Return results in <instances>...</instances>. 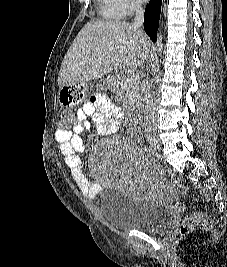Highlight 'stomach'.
I'll return each instance as SVG.
<instances>
[{
    "label": "stomach",
    "mask_w": 227,
    "mask_h": 267,
    "mask_svg": "<svg viewBox=\"0 0 227 267\" xmlns=\"http://www.w3.org/2000/svg\"><path fill=\"white\" fill-rule=\"evenodd\" d=\"M88 93L85 82H65V87H60L56 101H62L61 107H78L83 99H87Z\"/></svg>",
    "instance_id": "obj_1"
}]
</instances>
